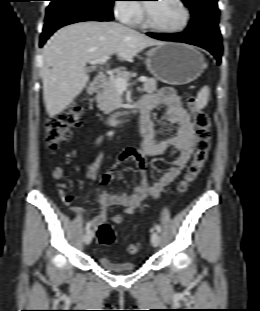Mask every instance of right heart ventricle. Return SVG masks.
<instances>
[{"label": "right heart ventricle", "mask_w": 260, "mask_h": 311, "mask_svg": "<svg viewBox=\"0 0 260 311\" xmlns=\"http://www.w3.org/2000/svg\"><path fill=\"white\" fill-rule=\"evenodd\" d=\"M140 20H141V15H140V17H139L135 22H136V23H139Z\"/></svg>", "instance_id": "e07e8e85"}]
</instances>
